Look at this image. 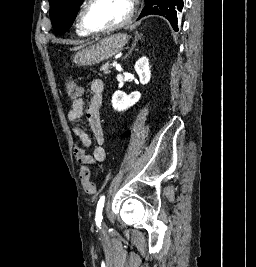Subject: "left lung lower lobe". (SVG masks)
Instances as JSON below:
<instances>
[{
  "label": "left lung lower lobe",
  "instance_id": "left-lung-lower-lobe-1",
  "mask_svg": "<svg viewBox=\"0 0 256 267\" xmlns=\"http://www.w3.org/2000/svg\"><path fill=\"white\" fill-rule=\"evenodd\" d=\"M173 2H174V17H173V22L171 23V25L175 31H178L177 15H178V11H181L183 7V0H173Z\"/></svg>",
  "mask_w": 256,
  "mask_h": 267
}]
</instances>
